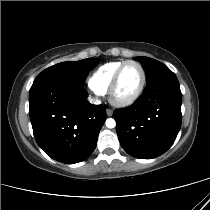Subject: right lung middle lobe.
<instances>
[{
    "label": "right lung middle lobe",
    "instance_id": "right-lung-middle-lobe-1",
    "mask_svg": "<svg viewBox=\"0 0 210 210\" xmlns=\"http://www.w3.org/2000/svg\"><path fill=\"white\" fill-rule=\"evenodd\" d=\"M98 63L99 60L94 58H88L76 62H62L42 71L35 78L33 83L57 80L72 82L84 86L89 71Z\"/></svg>",
    "mask_w": 210,
    "mask_h": 210
}]
</instances>
